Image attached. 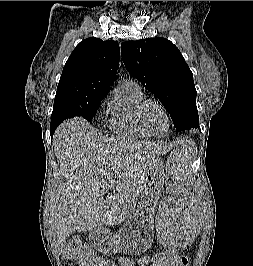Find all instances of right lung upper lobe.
<instances>
[{
    "label": "right lung upper lobe",
    "instance_id": "obj_1",
    "mask_svg": "<svg viewBox=\"0 0 253 266\" xmlns=\"http://www.w3.org/2000/svg\"><path fill=\"white\" fill-rule=\"evenodd\" d=\"M119 56L115 41L92 37L79 43L63 68L54 101L108 93L117 73Z\"/></svg>",
    "mask_w": 253,
    "mask_h": 266
}]
</instances>
